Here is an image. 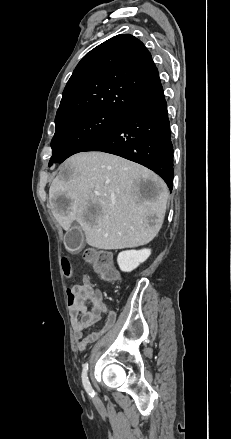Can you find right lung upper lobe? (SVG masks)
Instances as JSON below:
<instances>
[{
	"label": "right lung upper lobe",
	"mask_w": 231,
	"mask_h": 439,
	"mask_svg": "<svg viewBox=\"0 0 231 439\" xmlns=\"http://www.w3.org/2000/svg\"><path fill=\"white\" fill-rule=\"evenodd\" d=\"M163 91L158 70L143 43L117 35L87 53L64 91L56 118L92 109L124 114Z\"/></svg>",
	"instance_id": "obj_1"
}]
</instances>
